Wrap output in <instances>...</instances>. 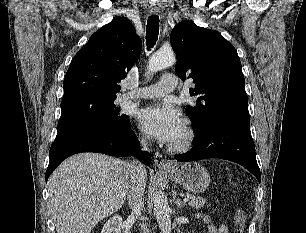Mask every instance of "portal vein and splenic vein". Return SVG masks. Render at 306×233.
<instances>
[{
	"mask_svg": "<svg viewBox=\"0 0 306 233\" xmlns=\"http://www.w3.org/2000/svg\"><path fill=\"white\" fill-rule=\"evenodd\" d=\"M188 200H189L188 197H185V198L183 199L184 202H187Z\"/></svg>",
	"mask_w": 306,
	"mask_h": 233,
	"instance_id": "obj_1",
	"label": "portal vein and splenic vein"
}]
</instances>
